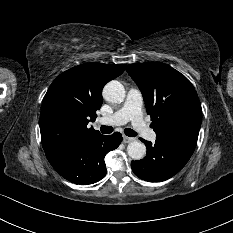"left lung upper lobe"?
<instances>
[{"label":"left lung upper lobe","instance_id":"1","mask_svg":"<svg viewBox=\"0 0 233 233\" xmlns=\"http://www.w3.org/2000/svg\"><path fill=\"white\" fill-rule=\"evenodd\" d=\"M128 74L142 92L157 139H188L197 143L201 104L191 82L159 62L130 64Z\"/></svg>","mask_w":233,"mask_h":233}]
</instances>
